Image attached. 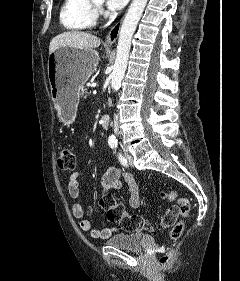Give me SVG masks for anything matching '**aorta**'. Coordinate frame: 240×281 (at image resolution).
<instances>
[{
  "label": "aorta",
  "mask_w": 240,
  "mask_h": 281,
  "mask_svg": "<svg viewBox=\"0 0 240 281\" xmlns=\"http://www.w3.org/2000/svg\"><path fill=\"white\" fill-rule=\"evenodd\" d=\"M147 1L148 0H133L122 23L117 45L116 60L111 73V87L115 91H118L121 87V82L127 68L131 39L146 7ZM108 140L110 142L115 141V136L110 135Z\"/></svg>",
  "instance_id": "aorta-1"
}]
</instances>
